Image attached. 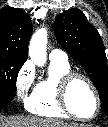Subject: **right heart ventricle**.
<instances>
[{"instance_id":"right-heart-ventricle-1","label":"right heart ventricle","mask_w":108,"mask_h":127,"mask_svg":"<svg viewBox=\"0 0 108 127\" xmlns=\"http://www.w3.org/2000/svg\"><path fill=\"white\" fill-rule=\"evenodd\" d=\"M71 72L68 62L51 61L48 75L39 80L26 102L29 112L54 118L70 117L60 106L58 85L61 78Z\"/></svg>"}]
</instances>
